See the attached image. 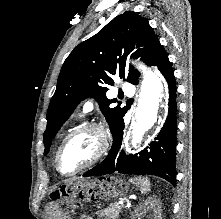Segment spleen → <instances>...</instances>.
<instances>
[{
	"label": "spleen",
	"instance_id": "1",
	"mask_svg": "<svg viewBox=\"0 0 221 219\" xmlns=\"http://www.w3.org/2000/svg\"><path fill=\"white\" fill-rule=\"evenodd\" d=\"M136 184L140 187V191L143 194H146L147 192L150 191V182L148 179L145 178H136ZM134 182V180L132 181Z\"/></svg>",
	"mask_w": 221,
	"mask_h": 219
}]
</instances>
